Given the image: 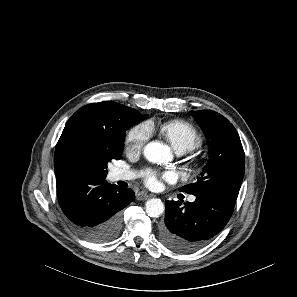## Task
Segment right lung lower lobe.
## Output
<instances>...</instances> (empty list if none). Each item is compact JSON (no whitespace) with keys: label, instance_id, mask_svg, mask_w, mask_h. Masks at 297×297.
<instances>
[{"label":"right lung lower lobe","instance_id":"right-lung-lower-lobe-1","mask_svg":"<svg viewBox=\"0 0 297 297\" xmlns=\"http://www.w3.org/2000/svg\"><path fill=\"white\" fill-rule=\"evenodd\" d=\"M58 199L74 229L86 240L105 243L122 226V209L134 199L131 189L110 185L105 178L79 172L57 181Z\"/></svg>","mask_w":297,"mask_h":297}]
</instances>
